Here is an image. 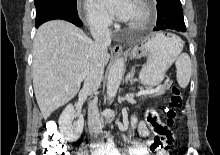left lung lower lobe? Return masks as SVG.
<instances>
[{
    "mask_svg": "<svg viewBox=\"0 0 220 155\" xmlns=\"http://www.w3.org/2000/svg\"><path fill=\"white\" fill-rule=\"evenodd\" d=\"M157 13L154 31L165 29L186 31L180 0H159L157 2Z\"/></svg>",
    "mask_w": 220,
    "mask_h": 155,
    "instance_id": "left-lung-lower-lobe-1",
    "label": "left lung lower lobe"
}]
</instances>
